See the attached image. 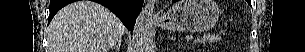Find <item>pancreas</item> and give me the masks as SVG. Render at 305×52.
<instances>
[{"instance_id":"pancreas-1","label":"pancreas","mask_w":305,"mask_h":52,"mask_svg":"<svg viewBox=\"0 0 305 52\" xmlns=\"http://www.w3.org/2000/svg\"><path fill=\"white\" fill-rule=\"evenodd\" d=\"M220 37L215 36V35H204L203 37H201L200 39L196 40V43H216V42H220Z\"/></svg>"}]
</instances>
